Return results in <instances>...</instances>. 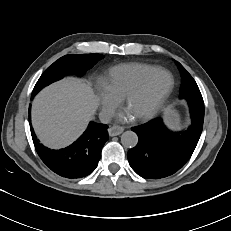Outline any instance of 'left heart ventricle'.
<instances>
[{
    "label": "left heart ventricle",
    "mask_w": 231,
    "mask_h": 231,
    "mask_svg": "<svg viewBox=\"0 0 231 231\" xmlns=\"http://www.w3.org/2000/svg\"><path fill=\"white\" fill-rule=\"evenodd\" d=\"M170 84V77L163 73L155 78L143 91L135 95L127 104L133 116L150 110L164 94Z\"/></svg>",
    "instance_id": "left-heart-ventricle-1"
}]
</instances>
